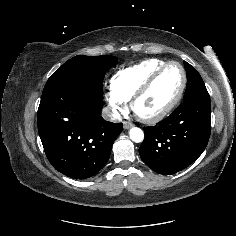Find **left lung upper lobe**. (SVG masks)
<instances>
[{
  "label": "left lung upper lobe",
  "instance_id": "obj_1",
  "mask_svg": "<svg viewBox=\"0 0 236 236\" xmlns=\"http://www.w3.org/2000/svg\"><path fill=\"white\" fill-rule=\"evenodd\" d=\"M184 66L187 73V86L183 100L198 94L208 93L200 74L185 61Z\"/></svg>",
  "mask_w": 236,
  "mask_h": 236
}]
</instances>
